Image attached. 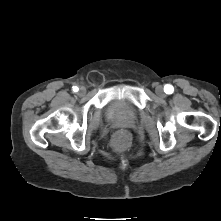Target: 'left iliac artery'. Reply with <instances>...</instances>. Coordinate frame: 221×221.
I'll return each instance as SVG.
<instances>
[{
  "mask_svg": "<svg viewBox=\"0 0 221 221\" xmlns=\"http://www.w3.org/2000/svg\"><path fill=\"white\" fill-rule=\"evenodd\" d=\"M164 91H165L166 94H172L173 91H174V88H173L172 85L167 84V85H165V87H164Z\"/></svg>",
  "mask_w": 221,
  "mask_h": 221,
  "instance_id": "obj_1",
  "label": "left iliac artery"
}]
</instances>
